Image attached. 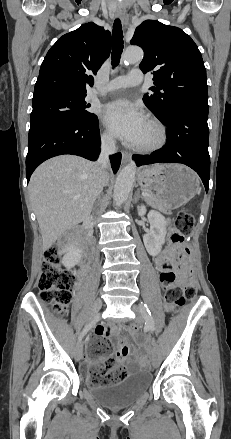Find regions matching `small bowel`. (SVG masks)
I'll return each instance as SVG.
<instances>
[{
    "label": "small bowel",
    "mask_w": 231,
    "mask_h": 439,
    "mask_svg": "<svg viewBox=\"0 0 231 439\" xmlns=\"http://www.w3.org/2000/svg\"><path fill=\"white\" fill-rule=\"evenodd\" d=\"M176 250L174 247H169L165 250L164 255L159 257L155 261L156 268H160L165 262H173L175 259ZM96 333L99 336L108 337L112 340H117L119 333L118 330L114 327L106 328L104 326H98L96 328ZM108 360L106 357H102L97 361H86V366L90 369L99 368L104 365V363ZM113 362L118 365L126 366L130 371H136L139 367L138 362L135 360L134 353L132 349L124 344L118 343L116 345L115 355L111 358Z\"/></svg>",
    "instance_id": "small-bowel-1"
}]
</instances>
